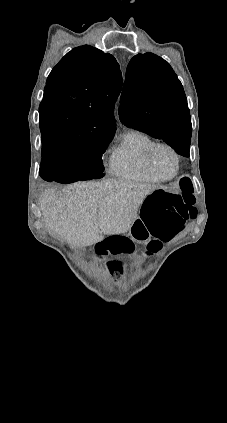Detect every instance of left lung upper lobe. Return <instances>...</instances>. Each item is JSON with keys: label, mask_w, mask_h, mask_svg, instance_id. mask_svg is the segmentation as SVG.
Segmentation results:
<instances>
[{"label": "left lung upper lobe", "mask_w": 227, "mask_h": 423, "mask_svg": "<svg viewBox=\"0 0 227 423\" xmlns=\"http://www.w3.org/2000/svg\"><path fill=\"white\" fill-rule=\"evenodd\" d=\"M119 118L121 123L171 147L191 141V117L183 86L171 66L152 53L138 54L130 60Z\"/></svg>", "instance_id": "5c2ea615"}]
</instances>
